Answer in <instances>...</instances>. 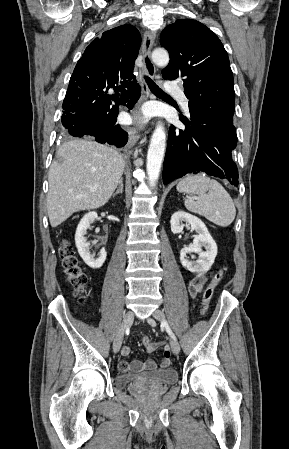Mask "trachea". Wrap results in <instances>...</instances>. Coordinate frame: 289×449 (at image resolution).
<instances>
[{"mask_svg":"<svg viewBox=\"0 0 289 449\" xmlns=\"http://www.w3.org/2000/svg\"><path fill=\"white\" fill-rule=\"evenodd\" d=\"M144 78H145V80H146V82H147V84H148V86H149V88H150V90H151L152 92H154V93L165 94V92H164L162 89H160V88L153 82V80H152L151 78H149V77H147V76H145Z\"/></svg>","mask_w":289,"mask_h":449,"instance_id":"obj_1","label":"trachea"}]
</instances>
